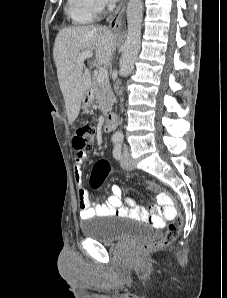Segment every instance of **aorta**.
I'll list each match as a JSON object with an SVG mask.
<instances>
[{
    "mask_svg": "<svg viewBox=\"0 0 227 298\" xmlns=\"http://www.w3.org/2000/svg\"><path fill=\"white\" fill-rule=\"evenodd\" d=\"M127 37L119 62L120 74L128 77L133 68L141 44V25L143 19V0H129L127 5ZM114 137L123 138L122 132H115Z\"/></svg>",
    "mask_w": 227,
    "mask_h": 298,
    "instance_id": "1",
    "label": "aorta"
}]
</instances>
